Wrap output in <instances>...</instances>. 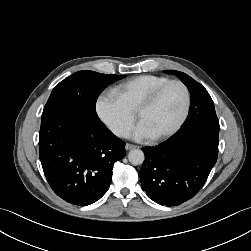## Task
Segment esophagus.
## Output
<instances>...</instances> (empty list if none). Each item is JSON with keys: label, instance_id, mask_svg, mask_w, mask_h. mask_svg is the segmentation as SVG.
Returning <instances> with one entry per match:
<instances>
[{"label": "esophagus", "instance_id": "34e87169", "mask_svg": "<svg viewBox=\"0 0 251 251\" xmlns=\"http://www.w3.org/2000/svg\"><path fill=\"white\" fill-rule=\"evenodd\" d=\"M136 147H137L136 145H133V144H130V143H126V145H125L126 150H131V149H134Z\"/></svg>", "mask_w": 251, "mask_h": 251}]
</instances>
